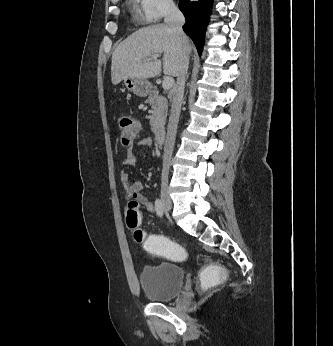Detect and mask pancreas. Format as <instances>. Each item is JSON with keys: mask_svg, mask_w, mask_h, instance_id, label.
Wrapping results in <instances>:
<instances>
[{"mask_svg": "<svg viewBox=\"0 0 333 346\" xmlns=\"http://www.w3.org/2000/svg\"><path fill=\"white\" fill-rule=\"evenodd\" d=\"M148 102L152 108V115L150 116L151 130L156 134L165 125L168 103L165 97L158 95L155 91L150 94Z\"/></svg>", "mask_w": 333, "mask_h": 346, "instance_id": "pancreas-1", "label": "pancreas"}]
</instances>
